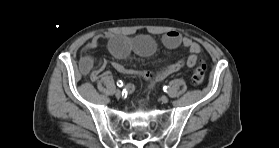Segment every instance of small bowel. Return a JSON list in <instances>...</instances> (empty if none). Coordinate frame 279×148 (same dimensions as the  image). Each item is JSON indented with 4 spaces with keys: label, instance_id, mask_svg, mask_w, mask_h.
Here are the masks:
<instances>
[{
    "label": "small bowel",
    "instance_id": "obj_1",
    "mask_svg": "<svg viewBox=\"0 0 279 148\" xmlns=\"http://www.w3.org/2000/svg\"><path fill=\"white\" fill-rule=\"evenodd\" d=\"M102 40L108 41L111 54L117 59H125L134 53L139 56L147 57L156 51L155 41L146 35L134 38L116 36L113 34H103L93 37L82 49L79 61V70L82 75L89 76L92 81H97L105 67L104 61H95L94 51L98 48ZM162 43L168 49L183 47L188 50V56L177 62L167 64L155 72L142 73V76L149 81L150 86L163 81L171 74L180 70L183 66L194 67L198 62V55L201 52L200 45L189 37L182 36L177 31H169L162 37ZM112 67L122 74H132L131 70L126 69L118 61L111 63ZM128 91H133L132 84L127 85Z\"/></svg>",
    "mask_w": 279,
    "mask_h": 148
}]
</instances>
